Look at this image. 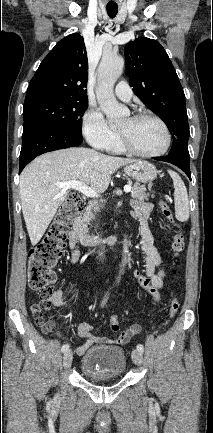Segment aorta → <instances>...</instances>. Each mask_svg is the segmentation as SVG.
I'll return each instance as SVG.
<instances>
[{"instance_id": "aorta-1", "label": "aorta", "mask_w": 213, "mask_h": 433, "mask_svg": "<svg viewBox=\"0 0 213 433\" xmlns=\"http://www.w3.org/2000/svg\"><path fill=\"white\" fill-rule=\"evenodd\" d=\"M124 59L118 55L104 54L98 68V86L96 89L99 106L111 127L117 126L126 115V109L121 106L113 93L114 84L122 74ZM128 241L123 243V266L127 262Z\"/></svg>"}]
</instances>
